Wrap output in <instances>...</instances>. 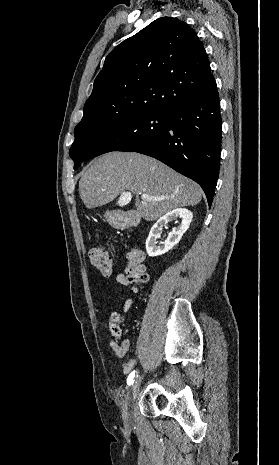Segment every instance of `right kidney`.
<instances>
[{"label":"right kidney","mask_w":279,"mask_h":465,"mask_svg":"<svg viewBox=\"0 0 279 465\" xmlns=\"http://www.w3.org/2000/svg\"><path fill=\"white\" fill-rule=\"evenodd\" d=\"M193 214L190 210L185 208H176L164 216L159 218L157 222L152 226L148 238L146 240V251L151 257L165 254L171 250L181 240L183 234L187 231L192 221ZM177 219H181L178 223ZM175 220L178 223L177 228H173L165 242H161L157 245V238L160 237V233L163 227L170 221Z\"/></svg>","instance_id":"ca27d5eb"}]
</instances>
